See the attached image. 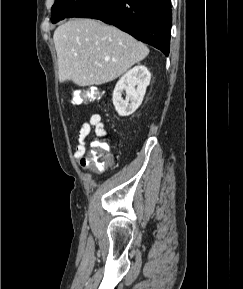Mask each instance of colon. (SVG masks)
Returning a JSON list of instances; mask_svg holds the SVG:
<instances>
[{
	"label": "colon",
	"mask_w": 243,
	"mask_h": 289,
	"mask_svg": "<svg viewBox=\"0 0 243 289\" xmlns=\"http://www.w3.org/2000/svg\"><path fill=\"white\" fill-rule=\"evenodd\" d=\"M100 98L101 92L96 88L75 90L71 93V102L75 105L99 100ZM91 147V153L82 159L85 164L92 166L97 170H104L114 163V157L109 152L105 143L94 141L92 142Z\"/></svg>",
	"instance_id": "1"
}]
</instances>
